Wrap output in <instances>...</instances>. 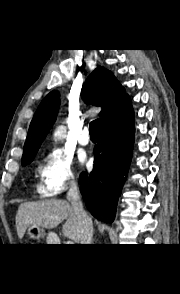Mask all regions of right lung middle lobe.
Listing matches in <instances>:
<instances>
[{"label":"right lung middle lobe","instance_id":"dd1d6c3e","mask_svg":"<svg viewBox=\"0 0 180 294\" xmlns=\"http://www.w3.org/2000/svg\"><path fill=\"white\" fill-rule=\"evenodd\" d=\"M34 157H31V158H28V159H25V160H22V165L25 166L27 164H29L32 160H33Z\"/></svg>","mask_w":180,"mask_h":294}]
</instances>
